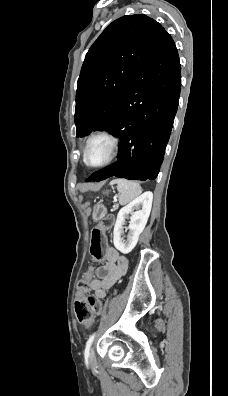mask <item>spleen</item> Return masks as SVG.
<instances>
[{
	"mask_svg": "<svg viewBox=\"0 0 228 396\" xmlns=\"http://www.w3.org/2000/svg\"><path fill=\"white\" fill-rule=\"evenodd\" d=\"M112 183L117 184L119 203L121 205L131 202L142 192V188L138 182L117 178Z\"/></svg>",
	"mask_w": 228,
	"mask_h": 396,
	"instance_id": "1",
	"label": "spleen"
}]
</instances>
